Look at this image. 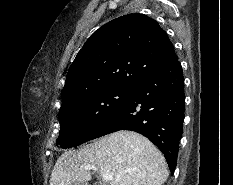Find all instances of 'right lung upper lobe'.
<instances>
[{
    "mask_svg": "<svg viewBox=\"0 0 233 185\" xmlns=\"http://www.w3.org/2000/svg\"><path fill=\"white\" fill-rule=\"evenodd\" d=\"M178 57L166 32L144 14L116 18L96 30L73 61L62 106L106 89H129Z\"/></svg>",
    "mask_w": 233,
    "mask_h": 185,
    "instance_id": "obj_1",
    "label": "right lung upper lobe"
}]
</instances>
